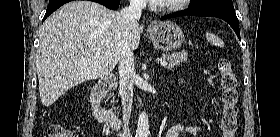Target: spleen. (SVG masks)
<instances>
[{
  "label": "spleen",
  "mask_w": 280,
  "mask_h": 137,
  "mask_svg": "<svg viewBox=\"0 0 280 137\" xmlns=\"http://www.w3.org/2000/svg\"><path fill=\"white\" fill-rule=\"evenodd\" d=\"M206 38L207 40L212 43L213 45L217 46V47H224V42L222 39H220L218 36H216L213 33H206Z\"/></svg>",
  "instance_id": "3e777b00"
}]
</instances>
